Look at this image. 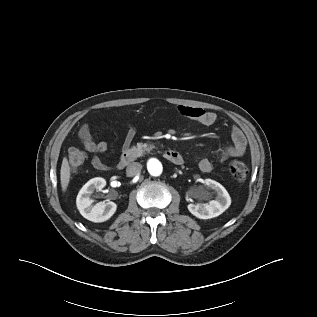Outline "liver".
Wrapping results in <instances>:
<instances>
[{
    "mask_svg": "<svg viewBox=\"0 0 317 317\" xmlns=\"http://www.w3.org/2000/svg\"><path fill=\"white\" fill-rule=\"evenodd\" d=\"M60 180L62 191L65 192L70 181V167L66 157L62 161L60 170Z\"/></svg>",
    "mask_w": 317,
    "mask_h": 317,
    "instance_id": "6515ba94",
    "label": "liver"
}]
</instances>
